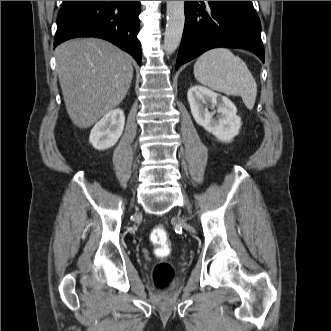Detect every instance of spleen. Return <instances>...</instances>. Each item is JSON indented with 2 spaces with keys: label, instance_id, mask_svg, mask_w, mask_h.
Segmentation results:
<instances>
[{
  "label": "spleen",
  "instance_id": "spleen-1",
  "mask_svg": "<svg viewBox=\"0 0 331 331\" xmlns=\"http://www.w3.org/2000/svg\"><path fill=\"white\" fill-rule=\"evenodd\" d=\"M194 76L203 85L241 96L251 110L257 96V84L245 62L227 48H215L202 54L194 65Z\"/></svg>",
  "mask_w": 331,
  "mask_h": 331
}]
</instances>
